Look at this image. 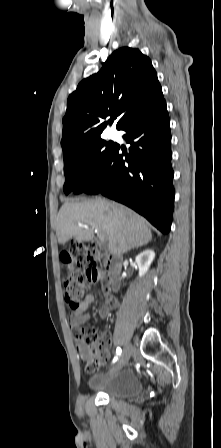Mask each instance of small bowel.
Listing matches in <instances>:
<instances>
[{
  "mask_svg": "<svg viewBox=\"0 0 221 448\" xmlns=\"http://www.w3.org/2000/svg\"><path fill=\"white\" fill-rule=\"evenodd\" d=\"M103 293L107 298V303L99 306L98 314L101 318H108L110 317L112 311L118 307V302L114 297L109 295L106 287H103ZM93 302L94 295L88 294L85 296L81 305L77 309L72 310L70 315V323L74 331L80 332L83 325L90 319V315L87 313V310ZM76 348L79 357L81 359H85L89 353L88 347L85 344L78 342Z\"/></svg>",
  "mask_w": 221,
  "mask_h": 448,
  "instance_id": "c3829d8e",
  "label": "small bowel"
}]
</instances>
